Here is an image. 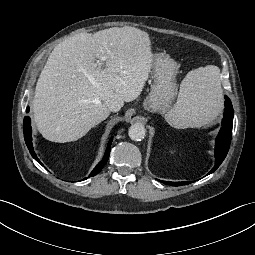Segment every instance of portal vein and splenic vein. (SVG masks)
<instances>
[{
  "mask_svg": "<svg viewBox=\"0 0 255 255\" xmlns=\"http://www.w3.org/2000/svg\"><path fill=\"white\" fill-rule=\"evenodd\" d=\"M105 59H106V57H103L101 60H98V61H97V64H98V65H101L102 62H103Z\"/></svg>",
  "mask_w": 255,
  "mask_h": 255,
  "instance_id": "portal-vein-and-splenic-vein-1",
  "label": "portal vein and splenic vein"
}]
</instances>
